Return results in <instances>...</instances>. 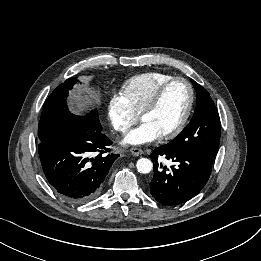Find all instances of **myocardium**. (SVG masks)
Segmentation results:
<instances>
[{
  "mask_svg": "<svg viewBox=\"0 0 261 261\" xmlns=\"http://www.w3.org/2000/svg\"><path fill=\"white\" fill-rule=\"evenodd\" d=\"M177 82L184 83L188 88L189 100H188L187 108H186V111H185L181 121L179 122V124L172 131L160 136L161 140H171V139L177 137L184 130V128L186 127V125L189 122V119L192 114L193 106H194V101H195L194 88H193L192 84L190 83V81L184 77H173L172 79L167 81L165 84H163L160 87V89L157 91V93L154 96V98L152 99V101L142 111L141 116H140L141 121H143V119L146 115L156 111L160 107L167 90L173 84H175Z\"/></svg>",
  "mask_w": 261,
  "mask_h": 261,
  "instance_id": "myocardium-1",
  "label": "myocardium"
}]
</instances>
